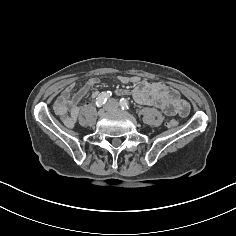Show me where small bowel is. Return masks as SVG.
<instances>
[{
    "label": "small bowel",
    "instance_id": "c3829d8e",
    "mask_svg": "<svg viewBox=\"0 0 236 236\" xmlns=\"http://www.w3.org/2000/svg\"><path fill=\"white\" fill-rule=\"evenodd\" d=\"M118 79L122 84L135 85L130 93L138 104L157 108L170 116L184 117L190 111L189 104L180 97L177 90L162 82L144 80L138 76H120ZM98 83L97 78H91L77 91H75V84L70 83L58 95L54 103V110L65 126L74 125L81 113L79 102ZM119 93L124 94L127 91L121 90ZM93 96H96V93Z\"/></svg>",
    "mask_w": 236,
    "mask_h": 236
}]
</instances>
